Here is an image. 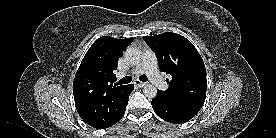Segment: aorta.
Returning <instances> with one entry per match:
<instances>
[{"label": "aorta", "instance_id": "762f6f07", "mask_svg": "<svg viewBox=\"0 0 276 138\" xmlns=\"http://www.w3.org/2000/svg\"><path fill=\"white\" fill-rule=\"evenodd\" d=\"M124 58L129 64L136 65L141 60V52L137 48L129 47L124 52ZM143 93L150 99L154 98L157 95V88L154 85L147 84L144 86Z\"/></svg>", "mask_w": 276, "mask_h": 138}]
</instances>
